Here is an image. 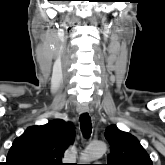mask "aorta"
Segmentation results:
<instances>
[{
  "label": "aorta",
  "mask_w": 165,
  "mask_h": 165,
  "mask_svg": "<svg viewBox=\"0 0 165 165\" xmlns=\"http://www.w3.org/2000/svg\"><path fill=\"white\" fill-rule=\"evenodd\" d=\"M106 149V145L103 142L91 143L82 152L80 159L83 162L97 160L105 154Z\"/></svg>",
  "instance_id": "1"
}]
</instances>
